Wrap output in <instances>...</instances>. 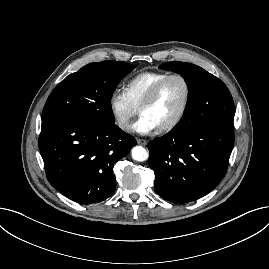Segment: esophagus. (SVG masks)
Here are the masks:
<instances>
[{
  "instance_id": "34e87169",
  "label": "esophagus",
  "mask_w": 269,
  "mask_h": 269,
  "mask_svg": "<svg viewBox=\"0 0 269 269\" xmlns=\"http://www.w3.org/2000/svg\"><path fill=\"white\" fill-rule=\"evenodd\" d=\"M137 143L140 144V145L145 146V145H147L148 142L145 139H137Z\"/></svg>"
}]
</instances>
